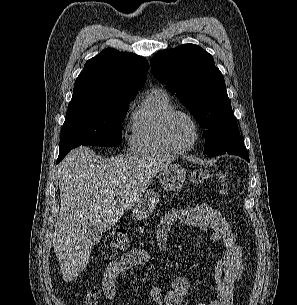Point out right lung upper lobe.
<instances>
[{
    "label": "right lung upper lobe",
    "mask_w": 297,
    "mask_h": 305,
    "mask_svg": "<svg viewBox=\"0 0 297 305\" xmlns=\"http://www.w3.org/2000/svg\"><path fill=\"white\" fill-rule=\"evenodd\" d=\"M147 72L148 62L142 56L104 49L84 65L75 81L69 106L136 96Z\"/></svg>",
    "instance_id": "1"
}]
</instances>
